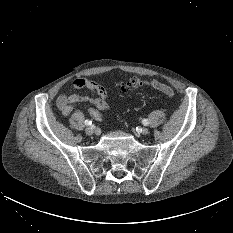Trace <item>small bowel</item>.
I'll return each instance as SVG.
<instances>
[{
  "label": "small bowel",
  "mask_w": 233,
  "mask_h": 233,
  "mask_svg": "<svg viewBox=\"0 0 233 233\" xmlns=\"http://www.w3.org/2000/svg\"><path fill=\"white\" fill-rule=\"evenodd\" d=\"M72 86L75 90H87L91 96L74 93L71 95H60L56 100V106L63 116H68L80 103H89V115L95 120H102L106 113L110 111V105L107 101V89L85 77L77 78L73 81Z\"/></svg>",
  "instance_id": "obj_1"
}]
</instances>
